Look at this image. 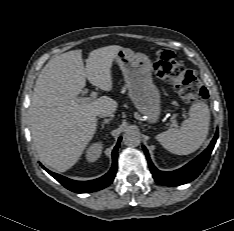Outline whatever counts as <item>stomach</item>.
<instances>
[{
    "label": "stomach",
    "instance_id": "1",
    "mask_svg": "<svg viewBox=\"0 0 234 231\" xmlns=\"http://www.w3.org/2000/svg\"><path fill=\"white\" fill-rule=\"evenodd\" d=\"M122 70L129 96L148 122H157L161 114V96L152 80V63L147 55L122 48L115 57Z\"/></svg>",
    "mask_w": 234,
    "mask_h": 231
}]
</instances>
